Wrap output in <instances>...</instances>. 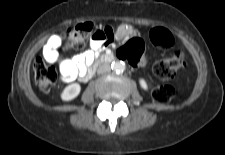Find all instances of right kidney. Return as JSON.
Here are the masks:
<instances>
[{"instance_id": "1", "label": "right kidney", "mask_w": 225, "mask_h": 155, "mask_svg": "<svg viewBox=\"0 0 225 155\" xmlns=\"http://www.w3.org/2000/svg\"><path fill=\"white\" fill-rule=\"evenodd\" d=\"M81 87L79 84L74 83L64 88L61 93V99L63 101H70L77 97L80 93Z\"/></svg>"}]
</instances>
